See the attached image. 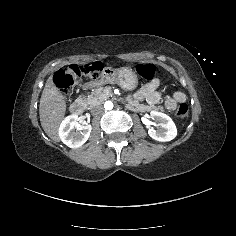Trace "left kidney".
<instances>
[{
	"label": "left kidney",
	"instance_id": "obj_1",
	"mask_svg": "<svg viewBox=\"0 0 236 236\" xmlns=\"http://www.w3.org/2000/svg\"><path fill=\"white\" fill-rule=\"evenodd\" d=\"M150 116L156 121L155 126L157 128H149L148 134L151 138L160 142H166L176 137L177 129L175 123L168 115L158 111H151Z\"/></svg>",
	"mask_w": 236,
	"mask_h": 236
}]
</instances>
